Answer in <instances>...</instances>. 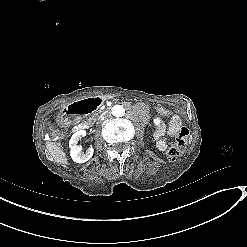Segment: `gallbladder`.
Here are the masks:
<instances>
[{"label": "gallbladder", "mask_w": 247, "mask_h": 247, "mask_svg": "<svg viewBox=\"0 0 247 247\" xmlns=\"http://www.w3.org/2000/svg\"><path fill=\"white\" fill-rule=\"evenodd\" d=\"M45 123H46L47 125H50V124L52 123V119H51L50 117H47V118L45 119ZM48 132H49L50 134H53V133L55 132V129H54L53 127H50V128L48 129Z\"/></svg>", "instance_id": "gallbladder-1"}]
</instances>
